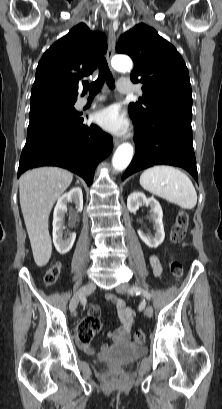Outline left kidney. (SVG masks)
Instances as JSON below:
<instances>
[{
  "label": "left kidney",
  "instance_id": "1",
  "mask_svg": "<svg viewBox=\"0 0 222 409\" xmlns=\"http://www.w3.org/2000/svg\"><path fill=\"white\" fill-rule=\"evenodd\" d=\"M143 204L149 205L151 208V218L154 222V229L156 230L155 236L152 237L149 234L143 233L141 230H138V235L141 240L150 248L158 247L165 238V232L163 227V211L159 202L155 198H147L141 192H134L129 195L127 199V207L131 213H135L139 207Z\"/></svg>",
  "mask_w": 222,
  "mask_h": 409
}]
</instances>
